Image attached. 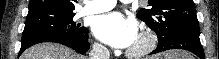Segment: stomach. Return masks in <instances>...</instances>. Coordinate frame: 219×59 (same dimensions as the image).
Instances as JSON below:
<instances>
[{
	"label": "stomach",
	"mask_w": 219,
	"mask_h": 59,
	"mask_svg": "<svg viewBox=\"0 0 219 59\" xmlns=\"http://www.w3.org/2000/svg\"><path fill=\"white\" fill-rule=\"evenodd\" d=\"M175 52H169L167 54H163L161 57H164L165 59H172L171 57L174 56Z\"/></svg>",
	"instance_id": "stomach-1"
}]
</instances>
